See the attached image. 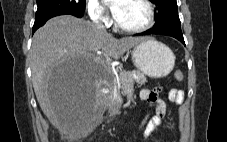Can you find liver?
Listing matches in <instances>:
<instances>
[{"label": "liver", "mask_w": 227, "mask_h": 142, "mask_svg": "<svg viewBox=\"0 0 227 142\" xmlns=\"http://www.w3.org/2000/svg\"><path fill=\"white\" fill-rule=\"evenodd\" d=\"M147 40L143 37L116 39L93 23L70 15L57 16L39 28L32 39L30 63L37 101L52 125L74 135L81 118L97 100L98 88L105 81L95 52L102 50L118 60L126 51ZM59 61H92L86 88H53L50 73Z\"/></svg>", "instance_id": "obj_1"}]
</instances>
